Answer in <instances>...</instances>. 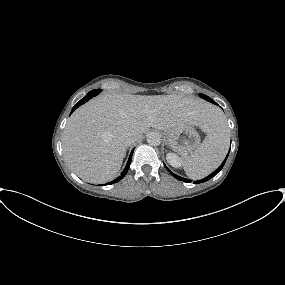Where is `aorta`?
<instances>
[{"label":"aorta","instance_id":"1","mask_svg":"<svg viewBox=\"0 0 285 285\" xmlns=\"http://www.w3.org/2000/svg\"><path fill=\"white\" fill-rule=\"evenodd\" d=\"M147 142L149 145L158 146L161 143V135L158 132H150L147 134Z\"/></svg>","mask_w":285,"mask_h":285}]
</instances>
